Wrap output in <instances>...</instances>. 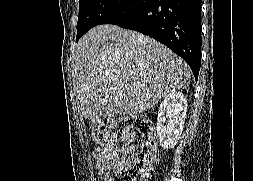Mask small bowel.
<instances>
[{"instance_id": "1", "label": "small bowel", "mask_w": 253, "mask_h": 181, "mask_svg": "<svg viewBox=\"0 0 253 181\" xmlns=\"http://www.w3.org/2000/svg\"><path fill=\"white\" fill-rule=\"evenodd\" d=\"M96 169L100 174H103L105 181L111 174V171L118 168L120 159L117 155V149L114 148H97L93 152Z\"/></svg>"}]
</instances>
